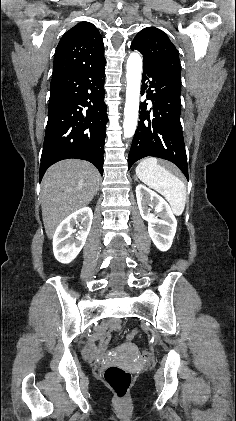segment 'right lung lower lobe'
I'll return each instance as SVG.
<instances>
[{"label": "right lung lower lobe", "mask_w": 236, "mask_h": 421, "mask_svg": "<svg viewBox=\"0 0 236 421\" xmlns=\"http://www.w3.org/2000/svg\"><path fill=\"white\" fill-rule=\"evenodd\" d=\"M105 63L52 77L40 181L47 168L68 158L87 160L103 174L108 122L103 101Z\"/></svg>", "instance_id": "right-lung-lower-lobe-1"}]
</instances>
